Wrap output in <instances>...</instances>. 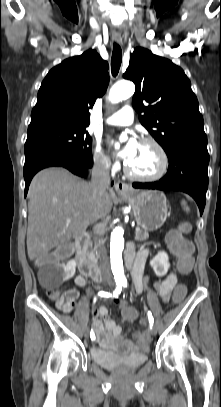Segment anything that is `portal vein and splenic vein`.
Masks as SVG:
<instances>
[{"instance_id": "portal-vein-and-splenic-vein-1", "label": "portal vein and splenic vein", "mask_w": 221, "mask_h": 407, "mask_svg": "<svg viewBox=\"0 0 221 407\" xmlns=\"http://www.w3.org/2000/svg\"><path fill=\"white\" fill-rule=\"evenodd\" d=\"M68 223H69V221H68ZM100 226H103V225L100 224ZM135 231H136V232H137V231H140V228L137 227V228L135 229Z\"/></svg>"}]
</instances>
